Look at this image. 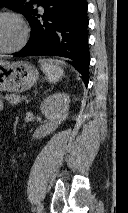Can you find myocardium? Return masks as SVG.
Returning <instances> with one entry per match:
<instances>
[{
  "instance_id": "obj_1",
  "label": "myocardium",
  "mask_w": 128,
  "mask_h": 213,
  "mask_svg": "<svg viewBox=\"0 0 128 213\" xmlns=\"http://www.w3.org/2000/svg\"><path fill=\"white\" fill-rule=\"evenodd\" d=\"M0 16H8L15 19L20 25L22 31L21 38L18 43L11 48L0 50V55L12 54L20 51L26 45L30 35V30L27 21L20 13L13 10H0Z\"/></svg>"
}]
</instances>
